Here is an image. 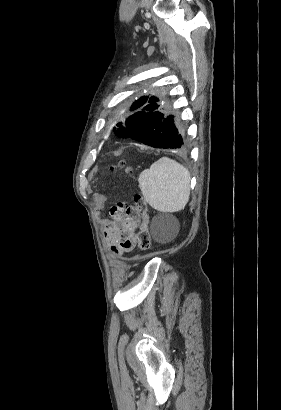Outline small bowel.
I'll use <instances>...</instances> for the list:
<instances>
[{
  "mask_svg": "<svg viewBox=\"0 0 281 410\" xmlns=\"http://www.w3.org/2000/svg\"><path fill=\"white\" fill-rule=\"evenodd\" d=\"M112 218L105 229L106 241L114 255L122 256L131 252L135 246L140 218L137 214Z\"/></svg>",
  "mask_w": 281,
  "mask_h": 410,
  "instance_id": "c3829d8e",
  "label": "small bowel"
}]
</instances>
